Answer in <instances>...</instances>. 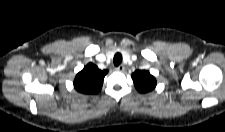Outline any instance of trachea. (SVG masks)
Listing matches in <instances>:
<instances>
[{"label":"trachea","mask_w":225,"mask_h":132,"mask_svg":"<svg viewBox=\"0 0 225 132\" xmlns=\"http://www.w3.org/2000/svg\"><path fill=\"white\" fill-rule=\"evenodd\" d=\"M113 62L115 66H119L122 62V55L120 53H116Z\"/></svg>","instance_id":"trachea-1"}]
</instances>
